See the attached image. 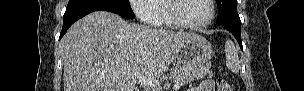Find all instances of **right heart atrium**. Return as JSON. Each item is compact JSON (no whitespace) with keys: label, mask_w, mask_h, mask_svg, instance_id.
Masks as SVG:
<instances>
[{"label":"right heart atrium","mask_w":304,"mask_h":91,"mask_svg":"<svg viewBox=\"0 0 304 91\" xmlns=\"http://www.w3.org/2000/svg\"><path fill=\"white\" fill-rule=\"evenodd\" d=\"M157 0H131V8L140 21L144 23H152L153 25L159 21V17L155 6Z\"/></svg>","instance_id":"right-heart-atrium-1"}]
</instances>
